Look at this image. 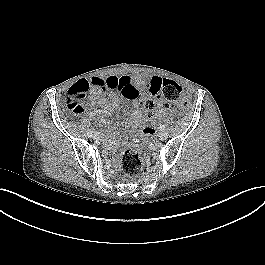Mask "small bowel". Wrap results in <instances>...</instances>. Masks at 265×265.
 Returning a JSON list of instances; mask_svg holds the SVG:
<instances>
[{"label":"small bowel","mask_w":265,"mask_h":265,"mask_svg":"<svg viewBox=\"0 0 265 265\" xmlns=\"http://www.w3.org/2000/svg\"><path fill=\"white\" fill-rule=\"evenodd\" d=\"M162 79L160 76H152L149 78H132L130 76L110 75L107 77H94L91 83L97 84L94 87L92 99L104 108V115L101 121H106L109 113L115 112L121 105V98L128 99L133 103L134 110L128 125L135 128L143 122V111L141 109V101L144 96H153L151 85L153 80ZM102 90L110 91L108 98L101 92ZM118 92V94L116 93ZM121 98H120V97ZM85 108L79 113L84 112ZM150 131V129H148Z\"/></svg>","instance_id":"obj_1"}]
</instances>
